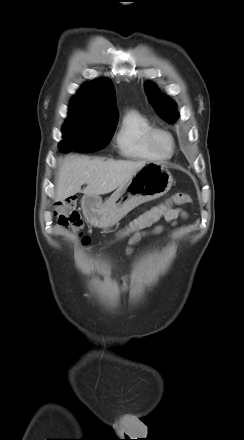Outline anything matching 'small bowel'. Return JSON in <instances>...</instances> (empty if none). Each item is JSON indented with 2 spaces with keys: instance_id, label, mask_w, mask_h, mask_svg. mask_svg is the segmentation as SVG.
Wrapping results in <instances>:
<instances>
[{
  "instance_id": "1",
  "label": "small bowel",
  "mask_w": 244,
  "mask_h": 440,
  "mask_svg": "<svg viewBox=\"0 0 244 440\" xmlns=\"http://www.w3.org/2000/svg\"><path fill=\"white\" fill-rule=\"evenodd\" d=\"M165 220L167 222H170L172 224H176L177 220L180 218H185L186 217V213L184 210L180 209V208H170L164 215ZM164 231V227L163 226H157L154 229L150 230V231H144V232H137L134 235L131 236L130 240H129V247L127 249V253L131 254L133 251V246L138 243L141 238L148 236V235H153V234H159L161 232Z\"/></svg>"
}]
</instances>
